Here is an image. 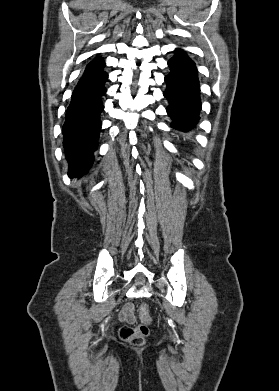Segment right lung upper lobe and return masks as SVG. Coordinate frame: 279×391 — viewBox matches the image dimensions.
<instances>
[{"label": "right lung upper lobe", "mask_w": 279, "mask_h": 391, "mask_svg": "<svg viewBox=\"0 0 279 391\" xmlns=\"http://www.w3.org/2000/svg\"><path fill=\"white\" fill-rule=\"evenodd\" d=\"M104 67H105V63L103 59L97 57L87 65L82 77L103 71L102 69Z\"/></svg>", "instance_id": "right-lung-upper-lobe-1"}]
</instances>
